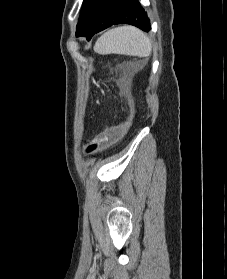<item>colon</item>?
I'll return each instance as SVG.
<instances>
[{
  "label": "colon",
  "mask_w": 227,
  "mask_h": 279,
  "mask_svg": "<svg viewBox=\"0 0 227 279\" xmlns=\"http://www.w3.org/2000/svg\"><path fill=\"white\" fill-rule=\"evenodd\" d=\"M124 102L125 104L131 108V103L129 101L128 96H124ZM111 139V135L109 133H103L99 136H96L95 138H93L87 145V152L88 153H92L94 151H96L98 149V147L102 144V143H106Z\"/></svg>",
  "instance_id": "1"
}]
</instances>
